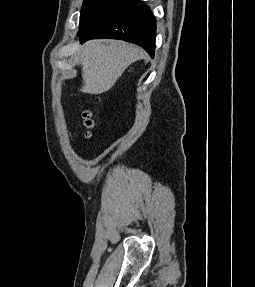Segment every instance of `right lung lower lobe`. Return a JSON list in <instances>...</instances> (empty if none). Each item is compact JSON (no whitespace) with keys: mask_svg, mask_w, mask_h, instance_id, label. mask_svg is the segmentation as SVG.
I'll return each mask as SVG.
<instances>
[{"mask_svg":"<svg viewBox=\"0 0 255 287\" xmlns=\"http://www.w3.org/2000/svg\"><path fill=\"white\" fill-rule=\"evenodd\" d=\"M82 42L93 38L121 39L144 48L152 57L155 50L156 19L146 5L124 6L86 31L78 33Z\"/></svg>","mask_w":255,"mask_h":287,"instance_id":"1","label":"right lung lower lobe"}]
</instances>
